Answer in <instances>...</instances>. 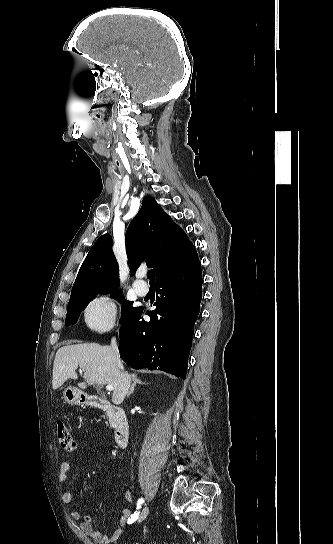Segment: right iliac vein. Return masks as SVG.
<instances>
[{"mask_svg":"<svg viewBox=\"0 0 333 544\" xmlns=\"http://www.w3.org/2000/svg\"><path fill=\"white\" fill-rule=\"evenodd\" d=\"M148 513H149V507L146 505V506L142 509V511H141V513H140V516H139V518H138V523H141L143 520H145V518L147 517Z\"/></svg>","mask_w":333,"mask_h":544,"instance_id":"63e3f726","label":"right iliac vein"}]
</instances>
